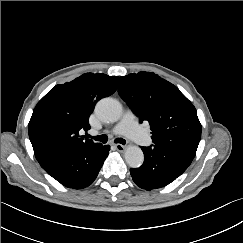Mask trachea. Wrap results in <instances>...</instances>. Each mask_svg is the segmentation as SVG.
Masks as SVG:
<instances>
[{
	"instance_id": "1",
	"label": "trachea",
	"mask_w": 243,
	"mask_h": 243,
	"mask_svg": "<svg viewBox=\"0 0 243 243\" xmlns=\"http://www.w3.org/2000/svg\"><path fill=\"white\" fill-rule=\"evenodd\" d=\"M88 138H92L94 139L95 141H98V142H102V143H106L108 141V137L107 135H98V136H91V135H88ZM115 143H118V144H123L125 145L126 144V141L122 138H116L114 140Z\"/></svg>"
}]
</instances>
